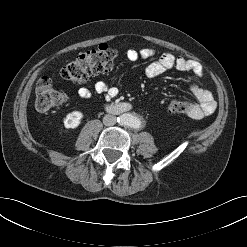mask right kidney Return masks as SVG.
Segmentation results:
<instances>
[{
	"mask_svg": "<svg viewBox=\"0 0 247 247\" xmlns=\"http://www.w3.org/2000/svg\"><path fill=\"white\" fill-rule=\"evenodd\" d=\"M83 114L80 111H73L64 118V126L66 128H76L81 123Z\"/></svg>",
	"mask_w": 247,
	"mask_h": 247,
	"instance_id": "ca27d5eb",
	"label": "right kidney"
}]
</instances>
